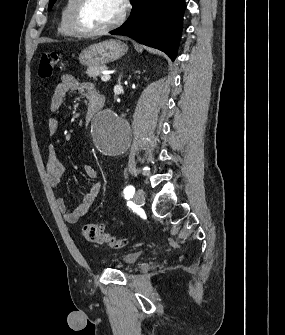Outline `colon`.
I'll use <instances>...</instances> for the list:
<instances>
[{
  "label": "colon",
  "mask_w": 285,
  "mask_h": 335,
  "mask_svg": "<svg viewBox=\"0 0 285 335\" xmlns=\"http://www.w3.org/2000/svg\"><path fill=\"white\" fill-rule=\"evenodd\" d=\"M59 62V55L55 52H47L42 54L38 64V76L42 81H48ZM83 234L87 241L97 244H106L114 249H120L127 245L122 239H117L107 233L101 226L97 224H86L83 228Z\"/></svg>",
  "instance_id": "5ec220e1"
}]
</instances>
